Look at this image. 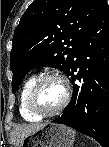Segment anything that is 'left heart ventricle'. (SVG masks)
I'll list each match as a JSON object with an SVG mask.
<instances>
[{"mask_svg": "<svg viewBox=\"0 0 109 147\" xmlns=\"http://www.w3.org/2000/svg\"><path fill=\"white\" fill-rule=\"evenodd\" d=\"M64 86L58 80L45 81L35 96V106L42 111H50L60 105L64 98Z\"/></svg>", "mask_w": 109, "mask_h": 147, "instance_id": "1", "label": "left heart ventricle"}]
</instances>
